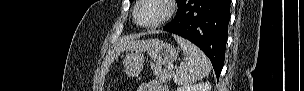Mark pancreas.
Wrapping results in <instances>:
<instances>
[{
  "mask_svg": "<svg viewBox=\"0 0 304 91\" xmlns=\"http://www.w3.org/2000/svg\"><path fill=\"white\" fill-rule=\"evenodd\" d=\"M153 73L156 78L162 82H167L173 75V71L169 68L161 69L157 66H152Z\"/></svg>",
  "mask_w": 304,
  "mask_h": 91,
  "instance_id": "1",
  "label": "pancreas"
}]
</instances>
